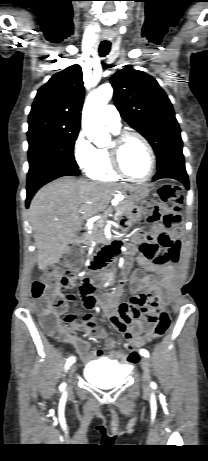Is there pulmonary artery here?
I'll return each instance as SVG.
<instances>
[{"mask_svg": "<svg viewBox=\"0 0 208 461\" xmlns=\"http://www.w3.org/2000/svg\"><path fill=\"white\" fill-rule=\"evenodd\" d=\"M106 126L112 131H118L121 127V119L118 110L113 105H107L102 113Z\"/></svg>", "mask_w": 208, "mask_h": 461, "instance_id": "e3ab8cb5", "label": "pulmonary artery"}]
</instances>
